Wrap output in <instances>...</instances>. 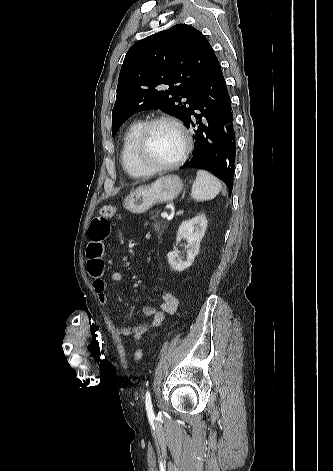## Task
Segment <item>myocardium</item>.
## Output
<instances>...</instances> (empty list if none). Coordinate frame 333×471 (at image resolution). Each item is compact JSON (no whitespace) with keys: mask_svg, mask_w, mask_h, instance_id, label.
<instances>
[{"mask_svg":"<svg viewBox=\"0 0 333 471\" xmlns=\"http://www.w3.org/2000/svg\"><path fill=\"white\" fill-rule=\"evenodd\" d=\"M158 124H169L173 126L182 139V150L180 155L172 162L166 164H155L147 157L148 139L152 128ZM192 141L186 128L175 118L170 116H158L146 121L141 127L134 146V157L137 165L148 174L173 170L182 165L189 156Z\"/></svg>","mask_w":333,"mask_h":471,"instance_id":"f54148a6","label":"myocardium"}]
</instances>
